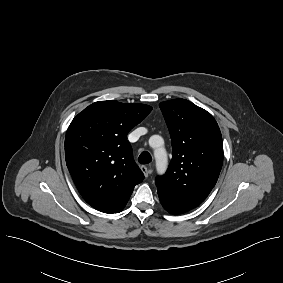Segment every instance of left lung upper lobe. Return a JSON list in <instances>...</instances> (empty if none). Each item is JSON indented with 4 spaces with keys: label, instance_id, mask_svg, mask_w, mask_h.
<instances>
[{
    "label": "left lung upper lobe",
    "instance_id": "5c2ea615",
    "mask_svg": "<svg viewBox=\"0 0 283 283\" xmlns=\"http://www.w3.org/2000/svg\"><path fill=\"white\" fill-rule=\"evenodd\" d=\"M172 141V160L156 178L158 195L178 213L202 203L217 182L223 162L219 126L206 110L185 99L159 104Z\"/></svg>",
    "mask_w": 283,
    "mask_h": 283
}]
</instances>
